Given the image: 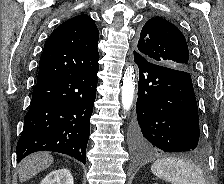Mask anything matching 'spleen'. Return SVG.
<instances>
[{
    "label": "spleen",
    "instance_id": "3e777b00",
    "mask_svg": "<svg viewBox=\"0 0 224 184\" xmlns=\"http://www.w3.org/2000/svg\"><path fill=\"white\" fill-rule=\"evenodd\" d=\"M151 171L155 176L172 184H206L203 171L184 159H158L151 165Z\"/></svg>",
    "mask_w": 224,
    "mask_h": 184
}]
</instances>
